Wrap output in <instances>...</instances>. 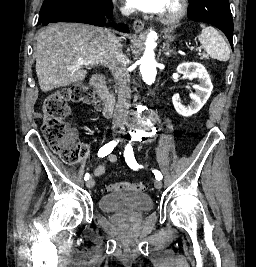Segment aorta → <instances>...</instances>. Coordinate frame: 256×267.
I'll list each match as a JSON object with an SVG mask.
<instances>
[{
	"label": "aorta",
	"mask_w": 256,
	"mask_h": 267,
	"mask_svg": "<svg viewBox=\"0 0 256 267\" xmlns=\"http://www.w3.org/2000/svg\"><path fill=\"white\" fill-rule=\"evenodd\" d=\"M157 38L154 30H149L146 36L145 52L141 58L140 70L142 72V79L144 83H153L157 77V62L155 60V42ZM153 108H134L133 122H128V127H152V122H159V117H152ZM145 143H156V138H145Z\"/></svg>",
	"instance_id": "aorta-1"
}]
</instances>
